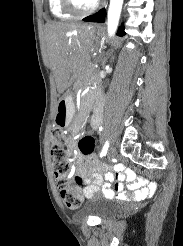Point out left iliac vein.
<instances>
[{
  "instance_id": "obj_1",
  "label": "left iliac vein",
  "mask_w": 183,
  "mask_h": 246,
  "mask_svg": "<svg viewBox=\"0 0 183 246\" xmlns=\"http://www.w3.org/2000/svg\"><path fill=\"white\" fill-rule=\"evenodd\" d=\"M117 155V149L115 146L110 147L107 157H108V161H111L113 158H115Z\"/></svg>"
}]
</instances>
